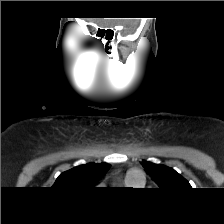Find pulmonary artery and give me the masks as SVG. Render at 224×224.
I'll use <instances>...</instances> for the list:
<instances>
[{
    "instance_id": "e3ab8cb5",
    "label": "pulmonary artery",
    "mask_w": 224,
    "mask_h": 224,
    "mask_svg": "<svg viewBox=\"0 0 224 224\" xmlns=\"http://www.w3.org/2000/svg\"><path fill=\"white\" fill-rule=\"evenodd\" d=\"M129 181L141 184L143 183V175L138 171H131L128 177Z\"/></svg>"
}]
</instances>
